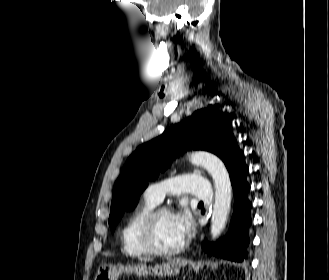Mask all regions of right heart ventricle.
Listing matches in <instances>:
<instances>
[{
	"label": "right heart ventricle",
	"instance_id": "1",
	"mask_svg": "<svg viewBox=\"0 0 329 280\" xmlns=\"http://www.w3.org/2000/svg\"><path fill=\"white\" fill-rule=\"evenodd\" d=\"M158 202L144 196L140 204L131 212L121 229L122 251L130 257L148 254L139 240V227L144 217L157 206Z\"/></svg>",
	"mask_w": 329,
	"mask_h": 280
}]
</instances>
